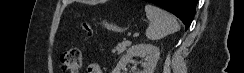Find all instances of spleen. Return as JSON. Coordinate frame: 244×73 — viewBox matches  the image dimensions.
Wrapping results in <instances>:
<instances>
[{
	"label": "spleen",
	"instance_id": "1",
	"mask_svg": "<svg viewBox=\"0 0 244 73\" xmlns=\"http://www.w3.org/2000/svg\"><path fill=\"white\" fill-rule=\"evenodd\" d=\"M145 12L151 22L146 30V37L149 40H159L180 30L176 18L167 11L155 5L147 4L145 5Z\"/></svg>",
	"mask_w": 244,
	"mask_h": 73
}]
</instances>
